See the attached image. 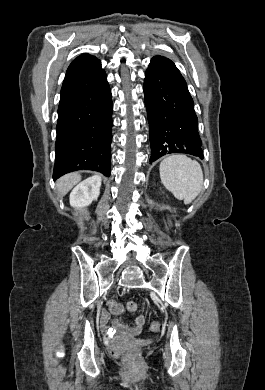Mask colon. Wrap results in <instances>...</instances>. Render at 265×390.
Returning <instances> with one entry per match:
<instances>
[{
  "label": "colon",
  "mask_w": 265,
  "mask_h": 390,
  "mask_svg": "<svg viewBox=\"0 0 265 390\" xmlns=\"http://www.w3.org/2000/svg\"><path fill=\"white\" fill-rule=\"evenodd\" d=\"M107 305H108V308H109L110 312L113 313V314L120 315V314H122L124 312L123 306L120 303H118L117 301H115V300H109ZM126 307H127V310L130 311V312H135L138 309V305L134 301L128 302ZM150 329L152 331H158L160 329L159 322L158 321H153L150 324ZM137 358H138V355H137L136 351H129L125 355V359L128 362H135L137 360Z\"/></svg>",
  "instance_id": "colon-1"
}]
</instances>
